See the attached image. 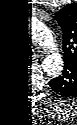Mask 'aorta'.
<instances>
[{
  "label": "aorta",
  "instance_id": "obj_1",
  "mask_svg": "<svg viewBox=\"0 0 77 125\" xmlns=\"http://www.w3.org/2000/svg\"><path fill=\"white\" fill-rule=\"evenodd\" d=\"M47 38H48V37H47ZM51 41H52V39H49V40L47 39V41H46V42H47V45H49V44H50V45L52 46V45H53V43H52Z\"/></svg>",
  "mask_w": 77,
  "mask_h": 125
}]
</instances>
